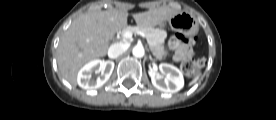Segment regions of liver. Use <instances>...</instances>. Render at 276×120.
<instances>
[{
  "instance_id": "liver-1",
  "label": "liver",
  "mask_w": 276,
  "mask_h": 120,
  "mask_svg": "<svg viewBox=\"0 0 276 120\" xmlns=\"http://www.w3.org/2000/svg\"><path fill=\"white\" fill-rule=\"evenodd\" d=\"M178 12L173 8L159 7L133 14V18L138 26L153 27L169 20ZM127 18V11L97 10L74 20L62 36L57 49V63L63 78L76 86L78 70L85 63L107 54L109 39L127 26Z\"/></svg>"
}]
</instances>
